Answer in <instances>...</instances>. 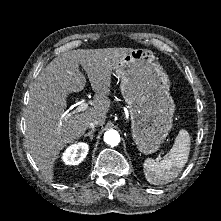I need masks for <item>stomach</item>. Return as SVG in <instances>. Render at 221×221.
I'll return each mask as SVG.
<instances>
[{"label":"stomach","instance_id":"1","mask_svg":"<svg viewBox=\"0 0 221 221\" xmlns=\"http://www.w3.org/2000/svg\"><path fill=\"white\" fill-rule=\"evenodd\" d=\"M120 89L130 112L132 137L138 150H159L172 128L175 105L170 81L154 53L133 49L115 65Z\"/></svg>","mask_w":221,"mask_h":221}]
</instances>
